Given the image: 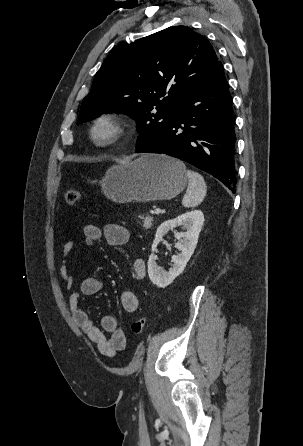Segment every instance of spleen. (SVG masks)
<instances>
[{
  "mask_svg": "<svg viewBox=\"0 0 303 446\" xmlns=\"http://www.w3.org/2000/svg\"><path fill=\"white\" fill-rule=\"evenodd\" d=\"M187 177L189 184L183 197L182 205L184 207H196L203 201L207 192V186L204 178L195 171L187 170Z\"/></svg>",
  "mask_w": 303,
  "mask_h": 446,
  "instance_id": "1",
  "label": "spleen"
}]
</instances>
